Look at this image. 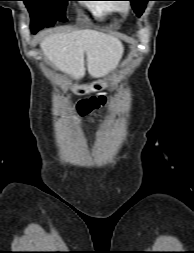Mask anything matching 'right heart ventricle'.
I'll list each match as a JSON object with an SVG mask.
<instances>
[{
    "mask_svg": "<svg viewBox=\"0 0 194 253\" xmlns=\"http://www.w3.org/2000/svg\"><path fill=\"white\" fill-rule=\"evenodd\" d=\"M92 14L99 20H107L119 15L117 3L114 1H98L87 4Z\"/></svg>",
    "mask_w": 194,
    "mask_h": 253,
    "instance_id": "1",
    "label": "right heart ventricle"
}]
</instances>
